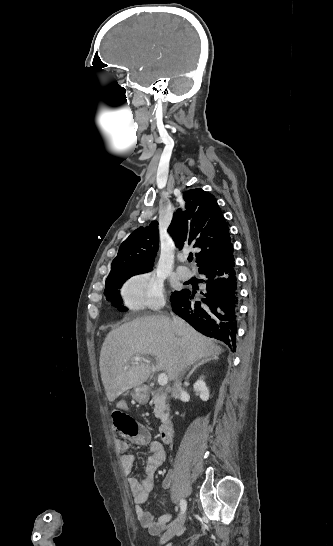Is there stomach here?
I'll use <instances>...</instances> for the list:
<instances>
[{"instance_id": "obj_1", "label": "stomach", "mask_w": 333, "mask_h": 546, "mask_svg": "<svg viewBox=\"0 0 333 546\" xmlns=\"http://www.w3.org/2000/svg\"><path fill=\"white\" fill-rule=\"evenodd\" d=\"M131 396L136 402L143 404L147 400V390L141 385L135 386L131 391Z\"/></svg>"}]
</instances>
